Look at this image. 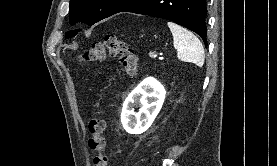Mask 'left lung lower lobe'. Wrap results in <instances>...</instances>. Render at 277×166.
<instances>
[{"label": "left lung lower lobe", "mask_w": 277, "mask_h": 166, "mask_svg": "<svg viewBox=\"0 0 277 166\" xmlns=\"http://www.w3.org/2000/svg\"><path fill=\"white\" fill-rule=\"evenodd\" d=\"M120 12L173 21L197 33L207 46L206 0H135Z\"/></svg>", "instance_id": "obj_1"}]
</instances>
